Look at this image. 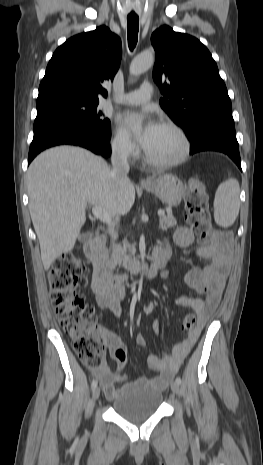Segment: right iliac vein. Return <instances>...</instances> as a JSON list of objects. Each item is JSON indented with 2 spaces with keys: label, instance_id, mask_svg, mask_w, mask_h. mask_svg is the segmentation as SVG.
Listing matches in <instances>:
<instances>
[{
  "label": "right iliac vein",
  "instance_id": "obj_1",
  "mask_svg": "<svg viewBox=\"0 0 263 465\" xmlns=\"http://www.w3.org/2000/svg\"><path fill=\"white\" fill-rule=\"evenodd\" d=\"M92 395H93V399L97 400L100 396V388L96 387L95 389H93Z\"/></svg>",
  "mask_w": 263,
  "mask_h": 465
}]
</instances>
